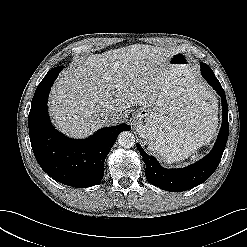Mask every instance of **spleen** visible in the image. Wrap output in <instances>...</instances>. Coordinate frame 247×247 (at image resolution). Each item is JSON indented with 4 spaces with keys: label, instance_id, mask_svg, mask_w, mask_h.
<instances>
[{
    "label": "spleen",
    "instance_id": "1",
    "mask_svg": "<svg viewBox=\"0 0 247 247\" xmlns=\"http://www.w3.org/2000/svg\"><path fill=\"white\" fill-rule=\"evenodd\" d=\"M210 139H211V138L207 139L206 142H208ZM199 158H200V154H194V155L191 157V160L196 161V160H198ZM183 164H186V162L183 163Z\"/></svg>",
    "mask_w": 247,
    "mask_h": 247
}]
</instances>
